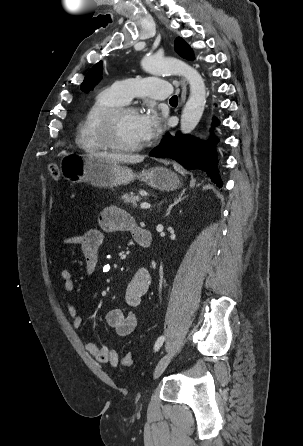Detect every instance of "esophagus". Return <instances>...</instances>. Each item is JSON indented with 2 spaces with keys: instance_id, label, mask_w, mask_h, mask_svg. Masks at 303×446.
Returning <instances> with one entry per match:
<instances>
[{
  "instance_id": "esophagus-1",
  "label": "esophagus",
  "mask_w": 303,
  "mask_h": 446,
  "mask_svg": "<svg viewBox=\"0 0 303 446\" xmlns=\"http://www.w3.org/2000/svg\"><path fill=\"white\" fill-rule=\"evenodd\" d=\"M181 87H182V92H181V101L184 103L186 100V94H187V83L185 81V79H181Z\"/></svg>"
}]
</instances>
